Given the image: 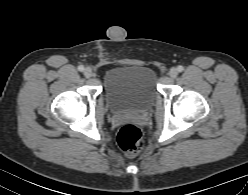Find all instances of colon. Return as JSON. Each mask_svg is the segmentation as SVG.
<instances>
[{
	"mask_svg": "<svg viewBox=\"0 0 248 195\" xmlns=\"http://www.w3.org/2000/svg\"><path fill=\"white\" fill-rule=\"evenodd\" d=\"M117 143L128 156H136L144 147L140 128L134 124L123 125L117 134Z\"/></svg>",
	"mask_w": 248,
	"mask_h": 195,
	"instance_id": "obj_1",
	"label": "colon"
}]
</instances>
